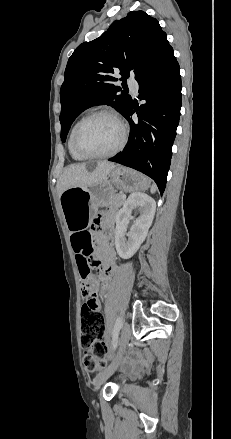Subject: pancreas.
Wrapping results in <instances>:
<instances>
[{
  "mask_svg": "<svg viewBox=\"0 0 231 439\" xmlns=\"http://www.w3.org/2000/svg\"><path fill=\"white\" fill-rule=\"evenodd\" d=\"M121 196H122L121 193L111 195L109 198V203L117 207H120L124 203V199H122Z\"/></svg>",
  "mask_w": 231,
  "mask_h": 439,
  "instance_id": "obj_1",
  "label": "pancreas"
}]
</instances>
